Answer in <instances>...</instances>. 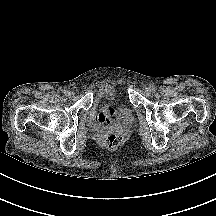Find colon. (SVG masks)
<instances>
[{
  "label": "colon",
  "instance_id": "1",
  "mask_svg": "<svg viewBox=\"0 0 216 216\" xmlns=\"http://www.w3.org/2000/svg\"><path fill=\"white\" fill-rule=\"evenodd\" d=\"M123 139L120 133L112 132L104 138L103 143L108 149H116L122 144Z\"/></svg>",
  "mask_w": 216,
  "mask_h": 216
}]
</instances>
